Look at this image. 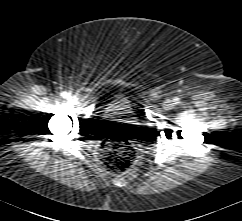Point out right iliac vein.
<instances>
[{
	"label": "right iliac vein",
	"instance_id": "1",
	"mask_svg": "<svg viewBox=\"0 0 242 221\" xmlns=\"http://www.w3.org/2000/svg\"><path fill=\"white\" fill-rule=\"evenodd\" d=\"M72 102H76V97H71Z\"/></svg>",
	"mask_w": 242,
	"mask_h": 221
}]
</instances>
